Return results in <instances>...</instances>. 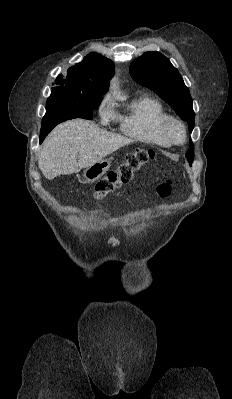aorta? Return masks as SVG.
Returning <instances> with one entry per match:
<instances>
[{"label": "aorta", "mask_w": 232, "mask_h": 399, "mask_svg": "<svg viewBox=\"0 0 232 399\" xmlns=\"http://www.w3.org/2000/svg\"><path fill=\"white\" fill-rule=\"evenodd\" d=\"M111 92L113 93V95L118 99V100H124L125 97L121 95V92L118 89V83L113 80L111 82V86H110Z\"/></svg>", "instance_id": "aorta-1"}]
</instances>
